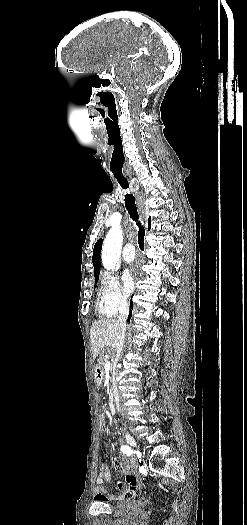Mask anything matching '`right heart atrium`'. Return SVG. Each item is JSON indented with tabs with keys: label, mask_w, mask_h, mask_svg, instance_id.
I'll list each match as a JSON object with an SVG mask.
<instances>
[{
	"label": "right heart atrium",
	"mask_w": 247,
	"mask_h": 525,
	"mask_svg": "<svg viewBox=\"0 0 247 525\" xmlns=\"http://www.w3.org/2000/svg\"><path fill=\"white\" fill-rule=\"evenodd\" d=\"M98 304L107 315H117L127 305V294L120 285L117 275L106 271L101 275V288Z\"/></svg>",
	"instance_id": "right-heart-atrium-1"
}]
</instances>
